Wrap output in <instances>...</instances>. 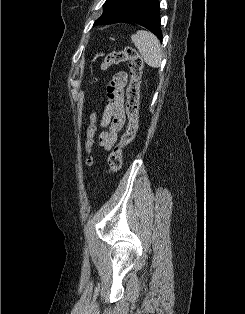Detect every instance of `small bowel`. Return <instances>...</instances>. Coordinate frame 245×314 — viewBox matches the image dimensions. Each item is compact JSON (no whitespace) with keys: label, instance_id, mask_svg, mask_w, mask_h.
I'll return each mask as SVG.
<instances>
[{"label":"small bowel","instance_id":"1","mask_svg":"<svg viewBox=\"0 0 245 314\" xmlns=\"http://www.w3.org/2000/svg\"><path fill=\"white\" fill-rule=\"evenodd\" d=\"M127 80V73L119 71L106 87V105L100 119L102 130L99 135V144L107 150L115 145L118 133L125 123L124 90Z\"/></svg>","mask_w":245,"mask_h":314}]
</instances>
